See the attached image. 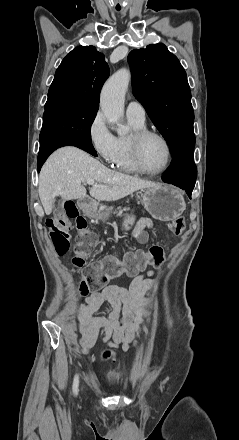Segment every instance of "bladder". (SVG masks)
Instances as JSON below:
<instances>
[{
	"mask_svg": "<svg viewBox=\"0 0 239 440\" xmlns=\"http://www.w3.org/2000/svg\"><path fill=\"white\" fill-rule=\"evenodd\" d=\"M104 378L108 383H119L123 379V373L121 371H112L106 374Z\"/></svg>",
	"mask_w": 239,
	"mask_h": 440,
	"instance_id": "31cf9c89",
	"label": "bladder"
}]
</instances>
